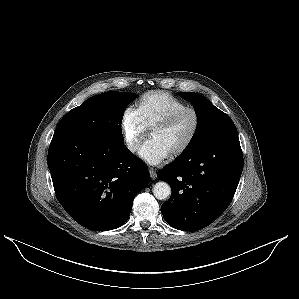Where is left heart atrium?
Wrapping results in <instances>:
<instances>
[{"label": "left heart atrium", "instance_id": "left-heart-atrium-1", "mask_svg": "<svg viewBox=\"0 0 299 299\" xmlns=\"http://www.w3.org/2000/svg\"><path fill=\"white\" fill-rule=\"evenodd\" d=\"M170 153L156 139H148L140 148L139 156L151 165H156L164 161Z\"/></svg>", "mask_w": 299, "mask_h": 299}]
</instances>
